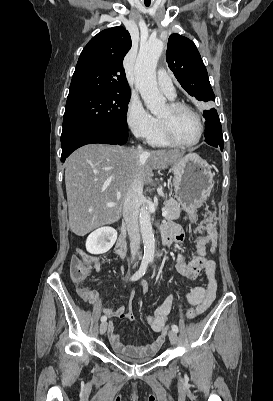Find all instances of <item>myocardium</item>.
<instances>
[{"instance_id": "f54148a6", "label": "myocardium", "mask_w": 273, "mask_h": 401, "mask_svg": "<svg viewBox=\"0 0 273 401\" xmlns=\"http://www.w3.org/2000/svg\"><path fill=\"white\" fill-rule=\"evenodd\" d=\"M168 105L171 109L185 110V111L189 112L190 114H192L193 116H195L199 122L200 133H199V136L197 137V139H195L194 141L183 142L175 136L171 126L165 120H163L162 118L159 117L158 118L159 123H160L161 129H162V132H163L165 138L168 141H170L171 143H173L174 145L179 146V147H192V146H195L198 143H200L205 135V122H204L202 116L200 115V113L198 111H196L194 108H192L191 106H189L185 103H182V102H170Z\"/></svg>"}]
</instances>
